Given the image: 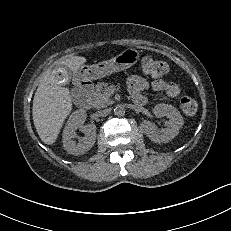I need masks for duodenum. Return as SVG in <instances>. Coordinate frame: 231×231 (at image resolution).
I'll return each instance as SVG.
<instances>
[{
    "instance_id": "410a0bca",
    "label": "duodenum",
    "mask_w": 231,
    "mask_h": 231,
    "mask_svg": "<svg viewBox=\"0 0 231 231\" xmlns=\"http://www.w3.org/2000/svg\"><path fill=\"white\" fill-rule=\"evenodd\" d=\"M93 91V83L87 79H79L76 84V99L81 109H88L90 106V95ZM135 103L142 105L143 98H138Z\"/></svg>"
}]
</instances>
